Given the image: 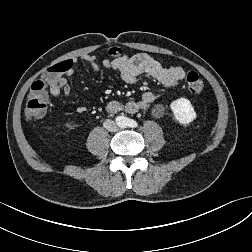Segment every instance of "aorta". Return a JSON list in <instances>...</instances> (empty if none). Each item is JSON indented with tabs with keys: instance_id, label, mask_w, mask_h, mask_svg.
I'll list each match as a JSON object with an SVG mask.
<instances>
[{
	"instance_id": "1",
	"label": "aorta",
	"mask_w": 252,
	"mask_h": 252,
	"mask_svg": "<svg viewBox=\"0 0 252 252\" xmlns=\"http://www.w3.org/2000/svg\"><path fill=\"white\" fill-rule=\"evenodd\" d=\"M116 121H117V124L120 126V127H126L127 126V123H128V119L124 116H118L116 118Z\"/></svg>"
}]
</instances>
